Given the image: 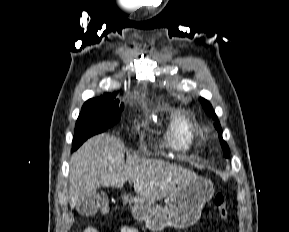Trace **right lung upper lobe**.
Segmentation results:
<instances>
[{
  "instance_id": "obj_1",
  "label": "right lung upper lobe",
  "mask_w": 289,
  "mask_h": 232,
  "mask_svg": "<svg viewBox=\"0 0 289 232\" xmlns=\"http://www.w3.org/2000/svg\"><path fill=\"white\" fill-rule=\"evenodd\" d=\"M115 93L114 94H109V93H106L104 96H101L100 98H97V99H111L113 100V98L115 97ZM96 99V98H95Z\"/></svg>"
}]
</instances>
